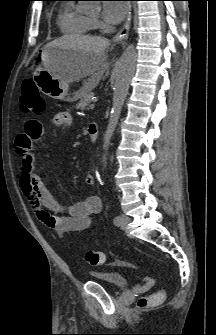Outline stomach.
Returning a JSON list of instances; mask_svg holds the SVG:
<instances>
[{
	"mask_svg": "<svg viewBox=\"0 0 216 335\" xmlns=\"http://www.w3.org/2000/svg\"><path fill=\"white\" fill-rule=\"evenodd\" d=\"M77 53L74 49L55 46H45L42 49V66L33 75L34 82L42 93L67 102L81 98L82 89L69 93V81L59 76Z\"/></svg>",
	"mask_w": 216,
	"mask_h": 335,
	"instance_id": "0dacf381",
	"label": "stomach"
}]
</instances>
